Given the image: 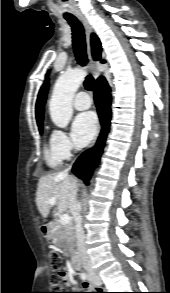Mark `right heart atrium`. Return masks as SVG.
Instances as JSON below:
<instances>
[{
	"instance_id": "1",
	"label": "right heart atrium",
	"mask_w": 170,
	"mask_h": 293,
	"mask_svg": "<svg viewBox=\"0 0 170 293\" xmlns=\"http://www.w3.org/2000/svg\"><path fill=\"white\" fill-rule=\"evenodd\" d=\"M50 145L53 151L61 158L67 159L71 157L74 146L66 133L60 129H55L50 138Z\"/></svg>"
}]
</instances>
